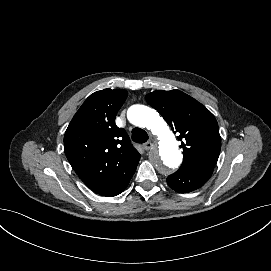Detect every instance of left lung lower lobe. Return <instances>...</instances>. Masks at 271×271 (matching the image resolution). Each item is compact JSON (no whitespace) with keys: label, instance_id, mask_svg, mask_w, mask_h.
<instances>
[{"label":"left lung lower lobe","instance_id":"1","mask_svg":"<svg viewBox=\"0 0 271 271\" xmlns=\"http://www.w3.org/2000/svg\"><path fill=\"white\" fill-rule=\"evenodd\" d=\"M212 173V170L203 172L178 170L167 177V183L170 188L178 193H189L202 187Z\"/></svg>","mask_w":271,"mask_h":271}]
</instances>
